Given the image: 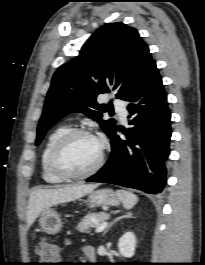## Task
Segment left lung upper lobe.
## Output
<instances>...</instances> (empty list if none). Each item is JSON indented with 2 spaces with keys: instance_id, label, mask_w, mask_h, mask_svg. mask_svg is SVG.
Returning a JSON list of instances; mask_svg holds the SVG:
<instances>
[{
  "instance_id": "5c2ea615",
  "label": "left lung upper lobe",
  "mask_w": 205,
  "mask_h": 265,
  "mask_svg": "<svg viewBox=\"0 0 205 265\" xmlns=\"http://www.w3.org/2000/svg\"><path fill=\"white\" fill-rule=\"evenodd\" d=\"M155 65L147 44L135 28L124 23H110L96 31L72 61L55 72L37 128L36 145L46 131L70 112H84L100 120L107 106L98 104L100 93L118 91L126 100ZM90 108L98 111L91 110ZM110 137L117 126L114 119L100 120Z\"/></svg>"
}]
</instances>
